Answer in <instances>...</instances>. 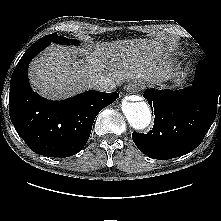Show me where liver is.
Segmentation results:
<instances>
[{"label": "liver", "mask_w": 221, "mask_h": 221, "mask_svg": "<svg viewBox=\"0 0 221 221\" xmlns=\"http://www.w3.org/2000/svg\"><path fill=\"white\" fill-rule=\"evenodd\" d=\"M166 51L161 40H118L97 43L85 50V60L77 61L68 49L51 45L30 64L29 81L48 99L71 97L101 76L116 84L131 79L159 83L170 71L161 59Z\"/></svg>", "instance_id": "liver-1"}]
</instances>
